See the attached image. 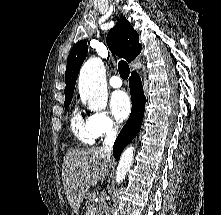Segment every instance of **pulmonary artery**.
<instances>
[{"mask_svg":"<svg viewBox=\"0 0 221 215\" xmlns=\"http://www.w3.org/2000/svg\"><path fill=\"white\" fill-rule=\"evenodd\" d=\"M109 84L113 88H119L122 86V79L120 76L117 75L111 76L109 79Z\"/></svg>","mask_w":221,"mask_h":215,"instance_id":"pulmonary-artery-1","label":"pulmonary artery"}]
</instances>
